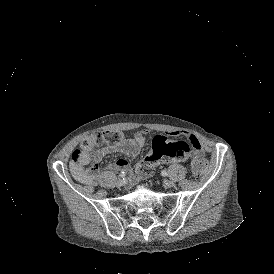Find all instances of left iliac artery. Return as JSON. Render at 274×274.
I'll list each match as a JSON object with an SVG mask.
<instances>
[{"instance_id": "1", "label": "left iliac artery", "mask_w": 274, "mask_h": 274, "mask_svg": "<svg viewBox=\"0 0 274 274\" xmlns=\"http://www.w3.org/2000/svg\"><path fill=\"white\" fill-rule=\"evenodd\" d=\"M161 174H162V176H164V177L169 175L168 171H166V170H163V171L161 172Z\"/></svg>"}]
</instances>
